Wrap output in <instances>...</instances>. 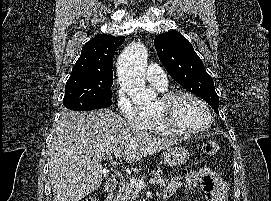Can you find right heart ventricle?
<instances>
[{
  "label": "right heart ventricle",
  "instance_id": "right-heart-ventricle-1",
  "mask_svg": "<svg viewBox=\"0 0 271 201\" xmlns=\"http://www.w3.org/2000/svg\"><path fill=\"white\" fill-rule=\"evenodd\" d=\"M144 130L148 133H152L159 136H176L167 132L154 118H151L149 124L144 128Z\"/></svg>",
  "mask_w": 271,
  "mask_h": 201
}]
</instances>
